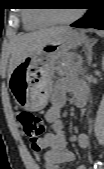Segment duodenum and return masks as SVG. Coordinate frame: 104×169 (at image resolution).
<instances>
[{
    "label": "duodenum",
    "mask_w": 104,
    "mask_h": 169,
    "mask_svg": "<svg viewBox=\"0 0 104 169\" xmlns=\"http://www.w3.org/2000/svg\"><path fill=\"white\" fill-rule=\"evenodd\" d=\"M76 102H77V105L79 106V107H84V106H86V98L85 97H79L77 100H76Z\"/></svg>",
    "instance_id": "duodenum-1"
}]
</instances>
